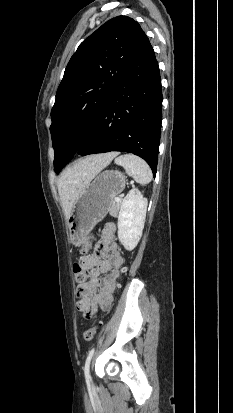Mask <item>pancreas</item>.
<instances>
[{"instance_id": "1", "label": "pancreas", "mask_w": 233, "mask_h": 413, "mask_svg": "<svg viewBox=\"0 0 233 413\" xmlns=\"http://www.w3.org/2000/svg\"><path fill=\"white\" fill-rule=\"evenodd\" d=\"M121 204H122L121 201L120 202H115V201L112 202V204L109 207V213H110L111 216L117 217L118 211L121 207Z\"/></svg>"}]
</instances>
